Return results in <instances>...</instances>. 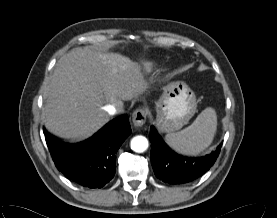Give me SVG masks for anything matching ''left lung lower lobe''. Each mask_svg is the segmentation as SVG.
Listing matches in <instances>:
<instances>
[{"mask_svg":"<svg viewBox=\"0 0 277 218\" xmlns=\"http://www.w3.org/2000/svg\"><path fill=\"white\" fill-rule=\"evenodd\" d=\"M151 163L156 176L170 184L190 182L215 163L221 144L216 151L200 158L182 157L173 152L158 135L153 126L150 129Z\"/></svg>","mask_w":277,"mask_h":218,"instance_id":"0a47b994","label":"left lung lower lobe"}]
</instances>
